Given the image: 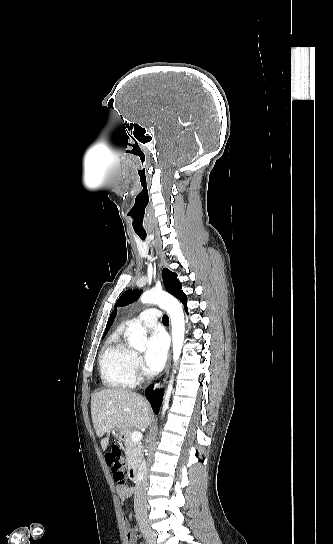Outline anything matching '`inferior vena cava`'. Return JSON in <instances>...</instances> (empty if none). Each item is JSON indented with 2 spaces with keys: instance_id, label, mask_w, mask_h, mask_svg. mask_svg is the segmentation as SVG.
I'll return each instance as SVG.
<instances>
[{
  "instance_id": "inferior-vena-cava-1",
  "label": "inferior vena cava",
  "mask_w": 333,
  "mask_h": 544,
  "mask_svg": "<svg viewBox=\"0 0 333 544\" xmlns=\"http://www.w3.org/2000/svg\"><path fill=\"white\" fill-rule=\"evenodd\" d=\"M146 487L147 467L145 460H143L139 467L134 494V509L138 519L146 517L147 515Z\"/></svg>"
}]
</instances>
